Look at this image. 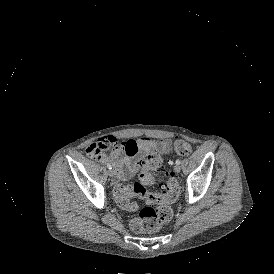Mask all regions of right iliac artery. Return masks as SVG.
Returning <instances> with one entry per match:
<instances>
[{
  "mask_svg": "<svg viewBox=\"0 0 274 274\" xmlns=\"http://www.w3.org/2000/svg\"><path fill=\"white\" fill-rule=\"evenodd\" d=\"M108 169H112V166L110 164L107 165Z\"/></svg>",
  "mask_w": 274,
  "mask_h": 274,
  "instance_id": "82829eb1",
  "label": "right iliac artery"
}]
</instances>
